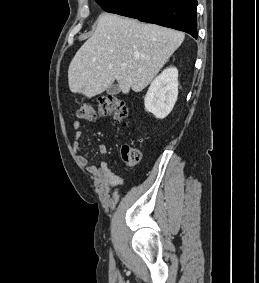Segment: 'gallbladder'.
Listing matches in <instances>:
<instances>
[{
  "mask_svg": "<svg viewBox=\"0 0 259 283\" xmlns=\"http://www.w3.org/2000/svg\"><path fill=\"white\" fill-rule=\"evenodd\" d=\"M120 91L121 90L117 84H114L107 89L109 95H117Z\"/></svg>",
  "mask_w": 259,
  "mask_h": 283,
  "instance_id": "bac80fb5",
  "label": "gallbladder"
}]
</instances>
